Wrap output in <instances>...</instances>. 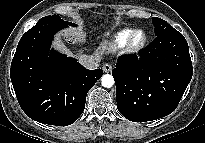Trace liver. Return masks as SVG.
<instances>
[{
	"label": "liver",
	"mask_w": 205,
	"mask_h": 143,
	"mask_svg": "<svg viewBox=\"0 0 205 143\" xmlns=\"http://www.w3.org/2000/svg\"><path fill=\"white\" fill-rule=\"evenodd\" d=\"M104 53H105V47L104 44H101L98 48L95 49L94 56H97L101 59Z\"/></svg>",
	"instance_id": "1"
}]
</instances>
